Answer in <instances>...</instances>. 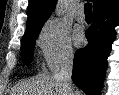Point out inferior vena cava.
I'll list each match as a JSON object with an SVG mask.
<instances>
[{"label":"inferior vena cava","instance_id":"obj_1","mask_svg":"<svg viewBox=\"0 0 119 95\" xmlns=\"http://www.w3.org/2000/svg\"><path fill=\"white\" fill-rule=\"evenodd\" d=\"M73 58V52H67L62 58L61 69L59 73L56 74V77L65 83L69 95H75L71 79L73 69Z\"/></svg>","mask_w":119,"mask_h":95}]
</instances>
